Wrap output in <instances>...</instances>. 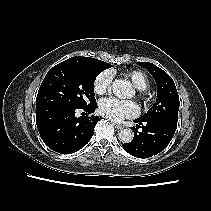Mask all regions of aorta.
Returning <instances> with one entry per match:
<instances>
[{
	"instance_id": "aorta-1",
	"label": "aorta",
	"mask_w": 211,
	"mask_h": 211,
	"mask_svg": "<svg viewBox=\"0 0 211 211\" xmlns=\"http://www.w3.org/2000/svg\"><path fill=\"white\" fill-rule=\"evenodd\" d=\"M112 90L118 98H130L133 95L131 83L125 80H115ZM118 139L122 143H129L133 139V132L128 128L122 129L118 132Z\"/></svg>"
}]
</instances>
